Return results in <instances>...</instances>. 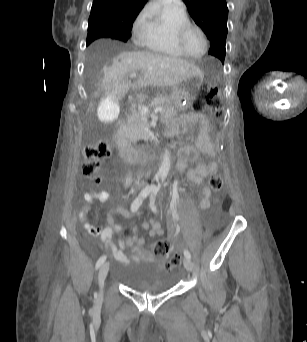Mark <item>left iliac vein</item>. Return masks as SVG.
I'll use <instances>...</instances> for the list:
<instances>
[{"label":"left iliac vein","mask_w":307,"mask_h":342,"mask_svg":"<svg viewBox=\"0 0 307 342\" xmlns=\"http://www.w3.org/2000/svg\"><path fill=\"white\" fill-rule=\"evenodd\" d=\"M183 264H184V267L188 271H192L193 270L194 265H193L192 261L189 258H184L183 259Z\"/></svg>","instance_id":"left-iliac-vein-1"}]
</instances>
